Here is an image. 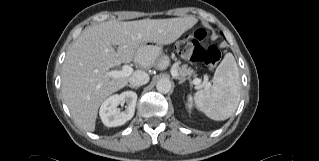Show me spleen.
Segmentation results:
<instances>
[{
    "instance_id": "1",
    "label": "spleen",
    "mask_w": 319,
    "mask_h": 161,
    "mask_svg": "<svg viewBox=\"0 0 319 161\" xmlns=\"http://www.w3.org/2000/svg\"><path fill=\"white\" fill-rule=\"evenodd\" d=\"M241 82L237 63L227 53L217 67L213 84L194 95L195 105L209 118L222 121L228 119L237 109L240 101Z\"/></svg>"
}]
</instances>
